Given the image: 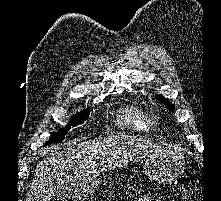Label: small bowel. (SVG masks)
<instances>
[{
	"label": "small bowel",
	"mask_w": 221,
	"mask_h": 201,
	"mask_svg": "<svg viewBox=\"0 0 221 201\" xmlns=\"http://www.w3.org/2000/svg\"><path fill=\"white\" fill-rule=\"evenodd\" d=\"M138 201H158V200L148 197V196H143Z\"/></svg>",
	"instance_id": "small-bowel-1"
}]
</instances>
